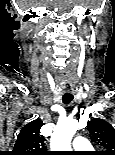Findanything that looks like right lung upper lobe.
I'll return each instance as SVG.
<instances>
[{"label": "right lung upper lobe", "instance_id": "right-lung-upper-lobe-1", "mask_svg": "<svg viewBox=\"0 0 115 155\" xmlns=\"http://www.w3.org/2000/svg\"><path fill=\"white\" fill-rule=\"evenodd\" d=\"M42 125L43 122L40 119L25 125L18 135L11 155H49L44 138L40 135Z\"/></svg>", "mask_w": 115, "mask_h": 155}]
</instances>
